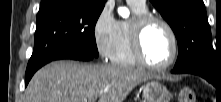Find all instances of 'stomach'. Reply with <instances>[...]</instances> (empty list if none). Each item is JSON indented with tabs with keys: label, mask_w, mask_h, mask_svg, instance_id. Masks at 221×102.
<instances>
[{
	"label": "stomach",
	"mask_w": 221,
	"mask_h": 102,
	"mask_svg": "<svg viewBox=\"0 0 221 102\" xmlns=\"http://www.w3.org/2000/svg\"><path fill=\"white\" fill-rule=\"evenodd\" d=\"M144 102H170L172 95L158 81H149L142 86Z\"/></svg>",
	"instance_id": "obj_1"
}]
</instances>
